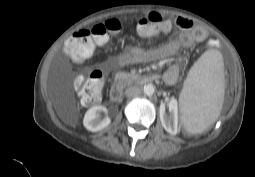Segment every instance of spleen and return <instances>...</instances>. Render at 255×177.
Instances as JSON below:
<instances>
[{
    "mask_svg": "<svg viewBox=\"0 0 255 177\" xmlns=\"http://www.w3.org/2000/svg\"><path fill=\"white\" fill-rule=\"evenodd\" d=\"M224 98V63L207 50L194 63L179 96L181 119L189 133H202L219 117Z\"/></svg>",
    "mask_w": 255,
    "mask_h": 177,
    "instance_id": "obj_1",
    "label": "spleen"
}]
</instances>
